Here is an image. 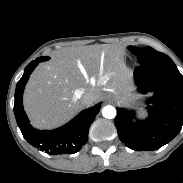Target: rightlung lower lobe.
<instances>
[{
    "label": "right lung lower lobe",
    "instance_id": "obj_1",
    "mask_svg": "<svg viewBox=\"0 0 183 183\" xmlns=\"http://www.w3.org/2000/svg\"><path fill=\"white\" fill-rule=\"evenodd\" d=\"M48 59L49 57L42 56L30 62L26 66L23 76L18 81L14 102L16 121L23 137L32 146L50 155L73 154L79 151L87 142L90 125L100 110V104L82 111L61 128L52 131H40L33 128L23 109V91L34 68L39 62Z\"/></svg>",
    "mask_w": 183,
    "mask_h": 183
}]
</instances>
